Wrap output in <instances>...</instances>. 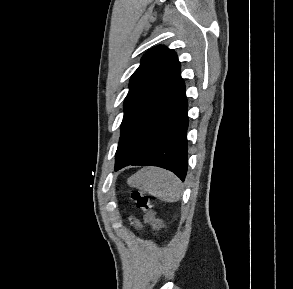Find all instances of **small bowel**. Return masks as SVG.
Instances as JSON below:
<instances>
[{
    "mask_svg": "<svg viewBox=\"0 0 293 289\" xmlns=\"http://www.w3.org/2000/svg\"><path fill=\"white\" fill-rule=\"evenodd\" d=\"M136 225H137L138 228H141V227H142L141 224H140L139 222H137Z\"/></svg>",
    "mask_w": 293,
    "mask_h": 289,
    "instance_id": "1",
    "label": "small bowel"
}]
</instances>
